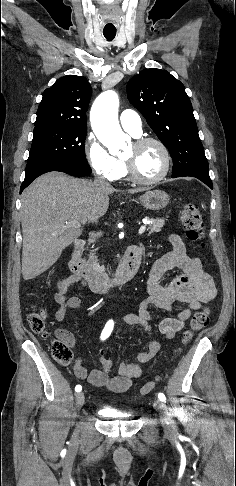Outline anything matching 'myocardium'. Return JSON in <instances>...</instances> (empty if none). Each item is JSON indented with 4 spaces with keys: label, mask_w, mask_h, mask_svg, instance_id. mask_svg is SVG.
Returning <instances> with one entry per match:
<instances>
[{
    "label": "myocardium",
    "mask_w": 236,
    "mask_h": 486,
    "mask_svg": "<svg viewBox=\"0 0 236 486\" xmlns=\"http://www.w3.org/2000/svg\"><path fill=\"white\" fill-rule=\"evenodd\" d=\"M151 143L157 145L160 148V150L163 154V158H164L163 169L156 177L150 178V179H145V178L140 177L136 173L133 164L129 160L124 158V165H125V168H126V174H127L128 178L134 183L141 184V185L157 184L160 181H162L168 175V173L170 171L171 154H170L168 147L161 140L154 138V137H143V138L137 139L133 144L136 147H141V146L151 144Z\"/></svg>",
    "instance_id": "f54148a6"
}]
</instances>
